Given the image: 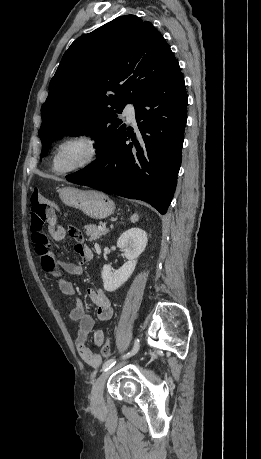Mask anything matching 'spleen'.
Segmentation results:
<instances>
[{
	"mask_svg": "<svg viewBox=\"0 0 261 459\" xmlns=\"http://www.w3.org/2000/svg\"><path fill=\"white\" fill-rule=\"evenodd\" d=\"M138 219H139V216H138L137 214H133V215L131 216V219H130V220H131V222L135 223V222L138 221Z\"/></svg>",
	"mask_w": 261,
	"mask_h": 459,
	"instance_id": "obj_1",
	"label": "spleen"
}]
</instances>
